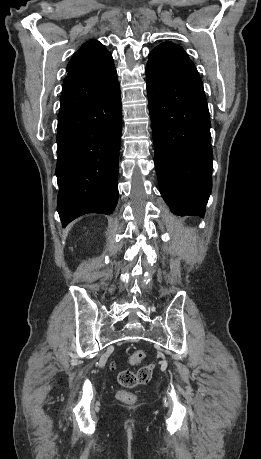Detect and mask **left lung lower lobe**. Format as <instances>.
Listing matches in <instances>:
<instances>
[{
  "mask_svg": "<svg viewBox=\"0 0 261 459\" xmlns=\"http://www.w3.org/2000/svg\"><path fill=\"white\" fill-rule=\"evenodd\" d=\"M146 78L160 193L174 214L204 217L213 155L203 83L150 65Z\"/></svg>",
  "mask_w": 261,
  "mask_h": 459,
  "instance_id": "0a47b994",
  "label": "left lung lower lobe"
}]
</instances>
